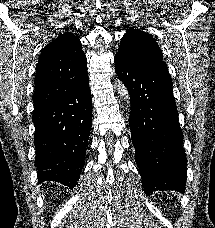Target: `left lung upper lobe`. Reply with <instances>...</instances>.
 Here are the masks:
<instances>
[{"label":"left lung upper lobe","mask_w":215,"mask_h":228,"mask_svg":"<svg viewBox=\"0 0 215 228\" xmlns=\"http://www.w3.org/2000/svg\"><path fill=\"white\" fill-rule=\"evenodd\" d=\"M116 55L139 65L164 63L157 42L150 34L135 28H130L123 36Z\"/></svg>","instance_id":"5c2ea615"}]
</instances>
